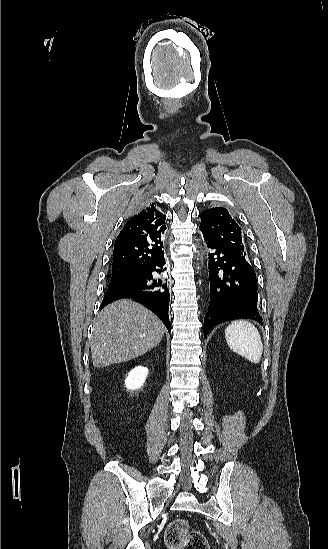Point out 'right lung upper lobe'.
Instances as JSON below:
<instances>
[{"label":"right lung upper lobe","instance_id":"cb5924a9","mask_svg":"<svg viewBox=\"0 0 328 549\" xmlns=\"http://www.w3.org/2000/svg\"><path fill=\"white\" fill-rule=\"evenodd\" d=\"M165 219L151 203L127 221L115 241L112 276L143 272L163 255Z\"/></svg>","mask_w":328,"mask_h":549}]
</instances>
